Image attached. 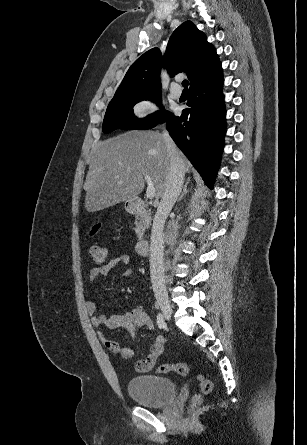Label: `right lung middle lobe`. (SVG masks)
Returning <instances> with one entry per match:
<instances>
[{
    "label": "right lung middle lobe",
    "mask_w": 307,
    "mask_h": 445,
    "mask_svg": "<svg viewBox=\"0 0 307 445\" xmlns=\"http://www.w3.org/2000/svg\"><path fill=\"white\" fill-rule=\"evenodd\" d=\"M141 100H151L160 104L161 93L111 100L103 121V133L107 134L116 129H150L171 114L161 108L160 111H157L144 119H138L133 114V106Z\"/></svg>",
    "instance_id": "dd1d6c3e"
}]
</instances>
